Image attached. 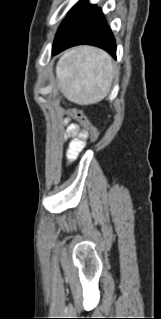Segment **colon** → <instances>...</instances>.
Listing matches in <instances>:
<instances>
[{"mask_svg":"<svg viewBox=\"0 0 161 319\" xmlns=\"http://www.w3.org/2000/svg\"><path fill=\"white\" fill-rule=\"evenodd\" d=\"M70 113L82 127L84 131L83 139L95 142L98 138V131L86 115L80 109L75 108H72Z\"/></svg>","mask_w":161,"mask_h":319,"instance_id":"1","label":"colon"}]
</instances>
